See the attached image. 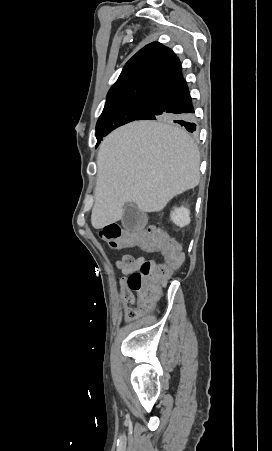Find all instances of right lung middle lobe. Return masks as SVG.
<instances>
[{
	"mask_svg": "<svg viewBox=\"0 0 272 451\" xmlns=\"http://www.w3.org/2000/svg\"><path fill=\"white\" fill-rule=\"evenodd\" d=\"M150 98H129L106 103L96 125L97 145L103 136L143 114L148 108Z\"/></svg>",
	"mask_w": 272,
	"mask_h": 451,
	"instance_id": "1",
	"label": "right lung middle lobe"
}]
</instances>
